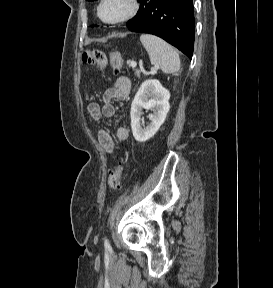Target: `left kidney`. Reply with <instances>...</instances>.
I'll return each instance as SVG.
<instances>
[{
    "mask_svg": "<svg viewBox=\"0 0 273 288\" xmlns=\"http://www.w3.org/2000/svg\"><path fill=\"white\" fill-rule=\"evenodd\" d=\"M170 92L156 79H148L142 83L131 104V128L136 141L145 142L152 138L164 123L169 111ZM142 109L153 110L148 118L150 124L142 127Z\"/></svg>",
    "mask_w": 273,
    "mask_h": 288,
    "instance_id": "obj_1",
    "label": "left kidney"
}]
</instances>
